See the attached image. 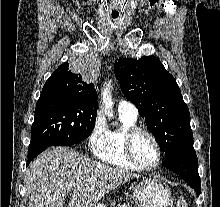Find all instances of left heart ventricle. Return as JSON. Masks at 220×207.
Returning <instances> with one entry per match:
<instances>
[{"label": "left heart ventricle", "instance_id": "obj_1", "mask_svg": "<svg viewBox=\"0 0 220 207\" xmlns=\"http://www.w3.org/2000/svg\"><path fill=\"white\" fill-rule=\"evenodd\" d=\"M134 153L138 161L143 165L154 164L158 157L153 141L144 133L136 136L134 140Z\"/></svg>", "mask_w": 220, "mask_h": 207}]
</instances>
